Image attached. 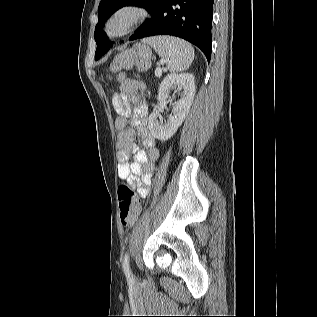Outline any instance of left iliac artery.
I'll list each match as a JSON object with an SVG mask.
<instances>
[{
  "instance_id": "left-iliac-artery-1",
  "label": "left iliac artery",
  "mask_w": 317,
  "mask_h": 317,
  "mask_svg": "<svg viewBox=\"0 0 317 317\" xmlns=\"http://www.w3.org/2000/svg\"><path fill=\"white\" fill-rule=\"evenodd\" d=\"M123 270H124V273L125 275L132 279V274H131V271H130V268H129V255L128 253L125 254L124 256V260H123Z\"/></svg>"
}]
</instances>
